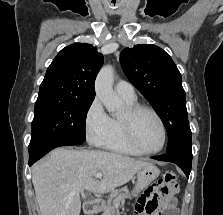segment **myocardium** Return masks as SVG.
Returning a JSON list of instances; mask_svg holds the SVG:
<instances>
[{
  "label": "myocardium",
  "mask_w": 223,
  "mask_h": 215,
  "mask_svg": "<svg viewBox=\"0 0 223 215\" xmlns=\"http://www.w3.org/2000/svg\"><path fill=\"white\" fill-rule=\"evenodd\" d=\"M141 113H149L151 116H153L154 119L157 121L158 126L160 128L161 141H160L159 146L153 151L139 150L134 140V135H133L134 122L137 116L140 115ZM122 124H123L124 137H125L126 143L134 151L136 155H140V156L156 155L163 149L165 145V141H166L165 126L160 116L152 108L145 105H139V104H136L134 106H129L124 112V114L122 115Z\"/></svg>",
  "instance_id": "f54148a6"
}]
</instances>
